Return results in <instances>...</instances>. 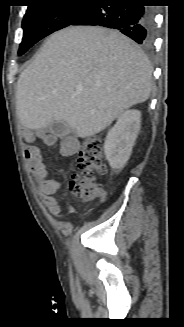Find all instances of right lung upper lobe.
Wrapping results in <instances>:
<instances>
[{
	"mask_svg": "<svg viewBox=\"0 0 184 327\" xmlns=\"http://www.w3.org/2000/svg\"><path fill=\"white\" fill-rule=\"evenodd\" d=\"M29 1H31L32 3L37 4V3L44 2V1H49V0H29ZM30 6H32V5H30ZM30 6H28V7H30Z\"/></svg>",
	"mask_w": 184,
	"mask_h": 327,
	"instance_id": "right-lung-upper-lobe-1",
	"label": "right lung upper lobe"
}]
</instances>
